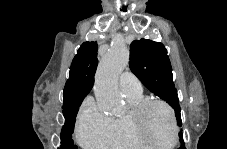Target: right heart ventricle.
Wrapping results in <instances>:
<instances>
[{"instance_id": "e07e8e85", "label": "right heart ventricle", "mask_w": 227, "mask_h": 149, "mask_svg": "<svg viewBox=\"0 0 227 149\" xmlns=\"http://www.w3.org/2000/svg\"><path fill=\"white\" fill-rule=\"evenodd\" d=\"M125 98L131 110L145 100L142 93L137 95H125ZM130 112L125 116L112 119L108 146L115 149H147V145L138 138L131 127L129 120Z\"/></svg>"}]
</instances>
